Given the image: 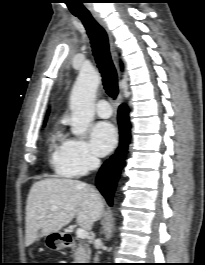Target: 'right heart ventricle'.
Returning <instances> with one entry per match:
<instances>
[{
  "mask_svg": "<svg viewBox=\"0 0 205 265\" xmlns=\"http://www.w3.org/2000/svg\"><path fill=\"white\" fill-rule=\"evenodd\" d=\"M64 139L59 133H55L49 142V160L54 169L61 176L70 177L68 173L64 172L61 168V159L64 146Z\"/></svg>",
  "mask_w": 205,
  "mask_h": 265,
  "instance_id": "1",
  "label": "right heart ventricle"
}]
</instances>
